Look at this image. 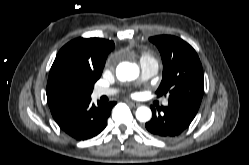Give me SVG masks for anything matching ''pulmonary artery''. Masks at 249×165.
Masks as SVG:
<instances>
[{
  "label": "pulmonary artery",
  "instance_id": "1",
  "mask_svg": "<svg viewBox=\"0 0 249 165\" xmlns=\"http://www.w3.org/2000/svg\"><path fill=\"white\" fill-rule=\"evenodd\" d=\"M140 67H141V81H146L156 75L158 71L157 63L151 58L142 57L140 60ZM119 90L116 88H109V87H97L94 90V97H101V96H109L118 93ZM163 105H168V101L164 100Z\"/></svg>",
  "mask_w": 249,
  "mask_h": 165
}]
</instances>
